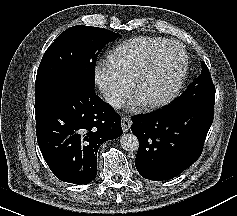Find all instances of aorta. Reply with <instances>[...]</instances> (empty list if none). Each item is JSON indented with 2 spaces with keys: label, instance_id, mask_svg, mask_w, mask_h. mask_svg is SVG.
Masks as SVG:
<instances>
[{
  "label": "aorta",
  "instance_id": "1",
  "mask_svg": "<svg viewBox=\"0 0 237 216\" xmlns=\"http://www.w3.org/2000/svg\"><path fill=\"white\" fill-rule=\"evenodd\" d=\"M120 145L127 152H137L139 150V139L134 134L123 133L120 138Z\"/></svg>",
  "mask_w": 237,
  "mask_h": 216
}]
</instances>
